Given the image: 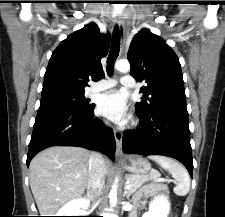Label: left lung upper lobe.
<instances>
[{"instance_id":"obj_1","label":"left lung upper lobe","mask_w":225,"mask_h":217,"mask_svg":"<svg viewBox=\"0 0 225 217\" xmlns=\"http://www.w3.org/2000/svg\"><path fill=\"white\" fill-rule=\"evenodd\" d=\"M130 74L145 82L136 110L150 113L160 108L186 107V95L179 60L166 42L149 29H142L130 44Z\"/></svg>"}]
</instances>
